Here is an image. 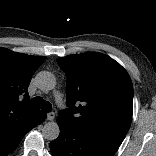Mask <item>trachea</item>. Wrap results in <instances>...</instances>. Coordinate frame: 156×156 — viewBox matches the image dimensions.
<instances>
[{
	"label": "trachea",
	"mask_w": 156,
	"mask_h": 156,
	"mask_svg": "<svg viewBox=\"0 0 156 156\" xmlns=\"http://www.w3.org/2000/svg\"><path fill=\"white\" fill-rule=\"evenodd\" d=\"M30 106L33 108H40L45 112L52 111V105L50 102L43 100L41 97L36 96L30 101Z\"/></svg>",
	"instance_id": "3493384b"
}]
</instances>
